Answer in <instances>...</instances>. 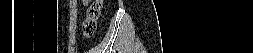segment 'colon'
Returning a JSON list of instances; mask_svg holds the SVG:
<instances>
[{"mask_svg":"<svg viewBox=\"0 0 253 53\" xmlns=\"http://www.w3.org/2000/svg\"><path fill=\"white\" fill-rule=\"evenodd\" d=\"M102 0H94L87 9L86 19L82 24V33L85 38H90L96 31L97 20L101 14Z\"/></svg>","mask_w":253,"mask_h":53,"instance_id":"colon-1","label":"colon"}]
</instances>
